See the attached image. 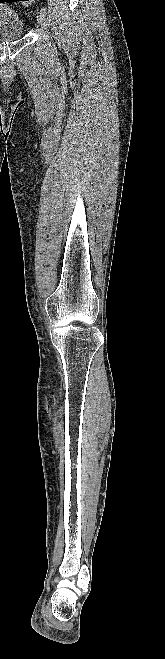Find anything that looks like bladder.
Here are the masks:
<instances>
[{
  "label": "bladder",
  "mask_w": 165,
  "mask_h": 659,
  "mask_svg": "<svg viewBox=\"0 0 165 659\" xmlns=\"http://www.w3.org/2000/svg\"><path fill=\"white\" fill-rule=\"evenodd\" d=\"M23 34L20 16L13 9L0 5V41L19 39Z\"/></svg>",
  "instance_id": "31cf9c89"
}]
</instances>
